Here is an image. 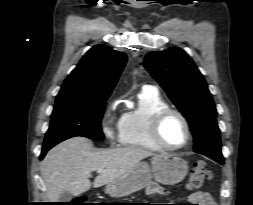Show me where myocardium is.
Returning <instances> with one entry per match:
<instances>
[{
    "instance_id": "f54148a6",
    "label": "myocardium",
    "mask_w": 253,
    "mask_h": 205,
    "mask_svg": "<svg viewBox=\"0 0 253 205\" xmlns=\"http://www.w3.org/2000/svg\"><path fill=\"white\" fill-rule=\"evenodd\" d=\"M171 116H176L178 117L182 123L184 124L185 130H186V139L185 141L180 144V145H169L167 144L161 135V130L162 126L165 123V121L171 117ZM150 136L153 140V142L162 150H167V151H175L182 149L188 145V143L191 140V127L189 124L188 119L185 117L183 113H181L178 110L172 109V108H166L158 113H156L150 123Z\"/></svg>"
}]
</instances>
